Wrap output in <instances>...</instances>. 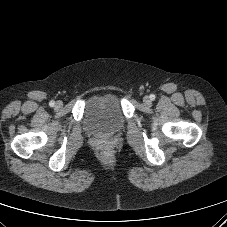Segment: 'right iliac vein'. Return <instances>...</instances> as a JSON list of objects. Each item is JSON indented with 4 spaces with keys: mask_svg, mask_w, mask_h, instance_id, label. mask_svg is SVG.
<instances>
[{
    "mask_svg": "<svg viewBox=\"0 0 227 227\" xmlns=\"http://www.w3.org/2000/svg\"><path fill=\"white\" fill-rule=\"evenodd\" d=\"M56 108H60L62 107V102L61 101H58L55 105Z\"/></svg>",
    "mask_w": 227,
    "mask_h": 227,
    "instance_id": "obj_1",
    "label": "right iliac vein"
}]
</instances>
